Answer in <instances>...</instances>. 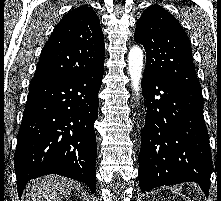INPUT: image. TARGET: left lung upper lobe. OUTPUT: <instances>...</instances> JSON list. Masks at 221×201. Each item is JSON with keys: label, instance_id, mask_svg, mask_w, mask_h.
<instances>
[{"label": "left lung upper lobe", "instance_id": "5c2ea615", "mask_svg": "<svg viewBox=\"0 0 221 201\" xmlns=\"http://www.w3.org/2000/svg\"><path fill=\"white\" fill-rule=\"evenodd\" d=\"M134 40L146 51L145 73L201 89L188 36L177 19L164 8L153 5L142 13Z\"/></svg>", "mask_w": 221, "mask_h": 201}]
</instances>
